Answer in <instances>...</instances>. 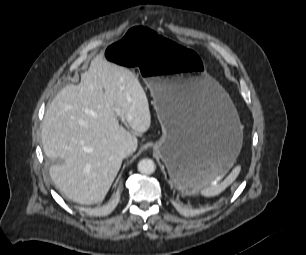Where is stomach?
<instances>
[{"mask_svg":"<svg viewBox=\"0 0 306 255\" xmlns=\"http://www.w3.org/2000/svg\"><path fill=\"white\" fill-rule=\"evenodd\" d=\"M101 57L138 69L162 128L154 152L179 191L195 194L229 171L242 147V126L229 95L195 50L131 25L119 43L103 46Z\"/></svg>","mask_w":306,"mask_h":255,"instance_id":"stomach-1","label":"stomach"}]
</instances>
